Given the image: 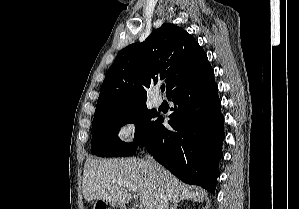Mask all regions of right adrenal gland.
Instances as JSON below:
<instances>
[{"mask_svg":"<svg viewBox=\"0 0 299 209\" xmlns=\"http://www.w3.org/2000/svg\"><path fill=\"white\" fill-rule=\"evenodd\" d=\"M170 209H177V206L176 205L175 206H171Z\"/></svg>","mask_w":299,"mask_h":209,"instance_id":"1","label":"right adrenal gland"}]
</instances>
